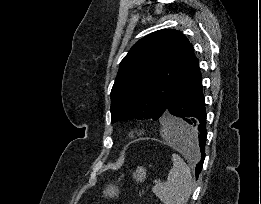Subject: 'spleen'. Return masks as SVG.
Here are the masks:
<instances>
[{
	"mask_svg": "<svg viewBox=\"0 0 261 204\" xmlns=\"http://www.w3.org/2000/svg\"><path fill=\"white\" fill-rule=\"evenodd\" d=\"M165 122L161 133L164 141L176 149L187 151L186 145L174 137L171 131L174 124H183V121L169 117ZM189 144L190 147L195 149L196 155L199 156L200 152L197 143L190 142ZM172 161L173 167L169 171L167 181L155 185L152 191L164 204H186L193 188L191 171L178 154L172 155Z\"/></svg>",
	"mask_w": 261,
	"mask_h": 204,
	"instance_id": "1",
	"label": "spleen"
}]
</instances>
